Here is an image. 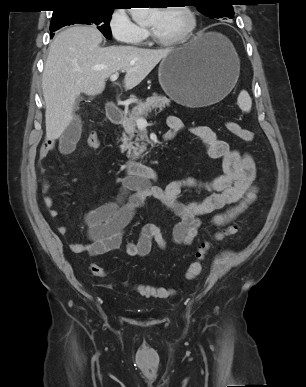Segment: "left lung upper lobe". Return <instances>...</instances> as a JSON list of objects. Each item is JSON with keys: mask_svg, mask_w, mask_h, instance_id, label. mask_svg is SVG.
<instances>
[{"mask_svg": "<svg viewBox=\"0 0 306 387\" xmlns=\"http://www.w3.org/2000/svg\"><path fill=\"white\" fill-rule=\"evenodd\" d=\"M232 0H191L194 6L210 18H233Z\"/></svg>", "mask_w": 306, "mask_h": 387, "instance_id": "1", "label": "left lung upper lobe"}]
</instances>
